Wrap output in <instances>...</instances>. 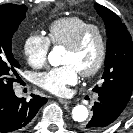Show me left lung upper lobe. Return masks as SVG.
Returning a JSON list of instances; mask_svg holds the SVG:
<instances>
[{
    "label": "left lung upper lobe",
    "instance_id": "left-lung-upper-lobe-1",
    "mask_svg": "<svg viewBox=\"0 0 133 133\" xmlns=\"http://www.w3.org/2000/svg\"><path fill=\"white\" fill-rule=\"evenodd\" d=\"M104 20L108 41L102 84L95 86L96 93L106 92L126 102L133 90V44L131 35L121 19L108 8L94 4Z\"/></svg>",
    "mask_w": 133,
    "mask_h": 133
}]
</instances>
